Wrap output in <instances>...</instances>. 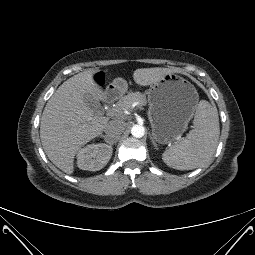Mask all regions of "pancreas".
<instances>
[{
  "label": "pancreas",
  "mask_w": 255,
  "mask_h": 255,
  "mask_svg": "<svg viewBox=\"0 0 255 255\" xmlns=\"http://www.w3.org/2000/svg\"><path fill=\"white\" fill-rule=\"evenodd\" d=\"M140 102V105L146 104V97L140 92H130L124 96L116 105V109L121 111L123 109H129L134 102Z\"/></svg>",
  "instance_id": "1"
}]
</instances>
